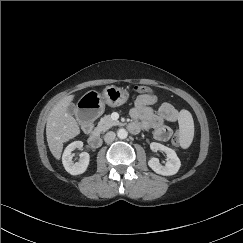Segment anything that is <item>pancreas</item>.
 Returning a JSON list of instances; mask_svg holds the SVG:
<instances>
[{"label":"pancreas","instance_id":"cf45deb5","mask_svg":"<svg viewBox=\"0 0 243 243\" xmlns=\"http://www.w3.org/2000/svg\"><path fill=\"white\" fill-rule=\"evenodd\" d=\"M118 125V123L110 117V115H105L102 117L96 127L97 132H105L110 129L112 126Z\"/></svg>","mask_w":243,"mask_h":243}]
</instances>
